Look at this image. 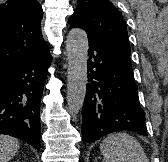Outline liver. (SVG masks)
<instances>
[{
  "label": "liver",
  "instance_id": "6515ba94",
  "mask_svg": "<svg viewBox=\"0 0 168 162\" xmlns=\"http://www.w3.org/2000/svg\"><path fill=\"white\" fill-rule=\"evenodd\" d=\"M19 149V141L8 135H0V162H8Z\"/></svg>",
  "mask_w": 168,
  "mask_h": 162
}]
</instances>
